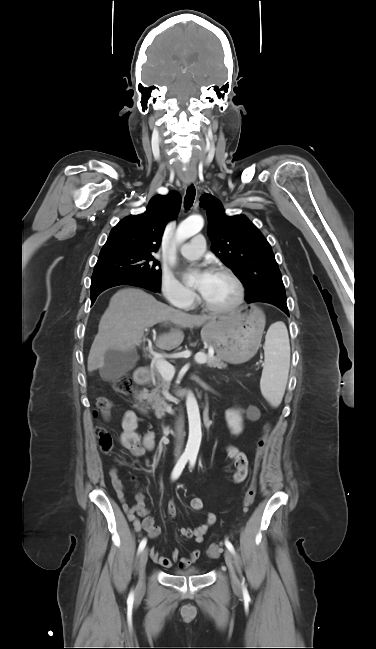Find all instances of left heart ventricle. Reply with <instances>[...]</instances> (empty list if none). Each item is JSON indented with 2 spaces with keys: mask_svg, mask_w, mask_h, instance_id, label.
I'll use <instances>...</instances> for the list:
<instances>
[{
  "mask_svg": "<svg viewBox=\"0 0 376 649\" xmlns=\"http://www.w3.org/2000/svg\"><path fill=\"white\" fill-rule=\"evenodd\" d=\"M200 292L210 305L225 306L235 299L237 290L233 281L227 275L214 272L209 282Z\"/></svg>",
  "mask_w": 376,
  "mask_h": 649,
  "instance_id": "obj_1",
  "label": "left heart ventricle"
}]
</instances>
